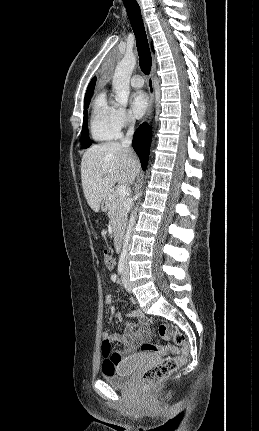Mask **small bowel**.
I'll return each instance as SVG.
<instances>
[{
	"label": "small bowel",
	"instance_id": "obj_1",
	"mask_svg": "<svg viewBox=\"0 0 259 431\" xmlns=\"http://www.w3.org/2000/svg\"><path fill=\"white\" fill-rule=\"evenodd\" d=\"M113 302V297L111 295H107L105 297L106 305H112ZM129 317L135 318L139 321L138 327H136L134 323H128L127 329L122 335L114 336L108 333H103L102 335V341H108L110 343L118 341L122 345L121 350H111L108 355H103V370L105 365H109L115 369L122 364L135 361L138 357L137 350L139 346L149 338V329L147 324L144 322L143 314L138 310H134L129 313Z\"/></svg>",
	"mask_w": 259,
	"mask_h": 431
}]
</instances>
